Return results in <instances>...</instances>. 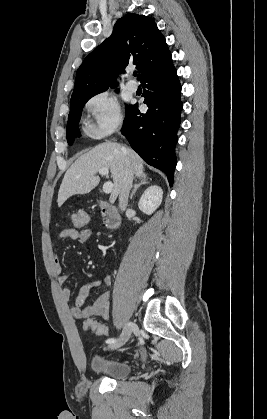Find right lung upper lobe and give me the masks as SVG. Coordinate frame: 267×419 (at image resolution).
Returning a JSON list of instances; mask_svg holds the SVG:
<instances>
[{
    "label": "right lung upper lobe",
    "instance_id": "obj_1",
    "mask_svg": "<svg viewBox=\"0 0 267 419\" xmlns=\"http://www.w3.org/2000/svg\"><path fill=\"white\" fill-rule=\"evenodd\" d=\"M171 61L165 38L153 19L126 14L117 20L112 35L84 59L76 73L71 100L116 87L118 74L129 64L136 65L141 80Z\"/></svg>",
    "mask_w": 267,
    "mask_h": 419
}]
</instances>
